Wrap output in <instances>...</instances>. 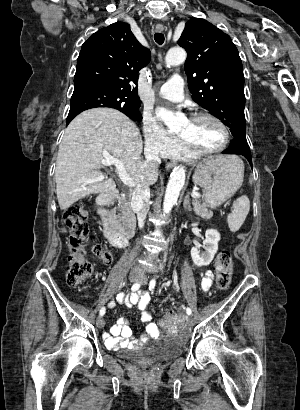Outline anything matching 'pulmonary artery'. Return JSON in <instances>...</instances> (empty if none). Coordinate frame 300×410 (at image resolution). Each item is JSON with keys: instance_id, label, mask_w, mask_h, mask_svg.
I'll list each match as a JSON object with an SVG mask.
<instances>
[{"instance_id": "e3ab8cb5", "label": "pulmonary artery", "mask_w": 300, "mask_h": 410, "mask_svg": "<svg viewBox=\"0 0 300 410\" xmlns=\"http://www.w3.org/2000/svg\"><path fill=\"white\" fill-rule=\"evenodd\" d=\"M184 81L180 76H171L160 88L159 96L170 101H182L184 98Z\"/></svg>"}]
</instances>
